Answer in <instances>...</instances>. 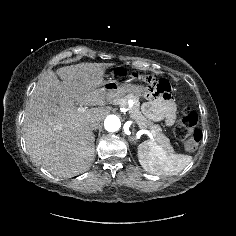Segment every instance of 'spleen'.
I'll return each instance as SVG.
<instances>
[{
  "label": "spleen",
  "mask_w": 236,
  "mask_h": 236,
  "mask_svg": "<svg viewBox=\"0 0 236 236\" xmlns=\"http://www.w3.org/2000/svg\"><path fill=\"white\" fill-rule=\"evenodd\" d=\"M137 155L139 163L147 172L161 176L175 175L192 161V156L167 152L151 141L141 143Z\"/></svg>",
  "instance_id": "3e777b00"
}]
</instances>
